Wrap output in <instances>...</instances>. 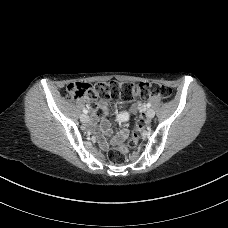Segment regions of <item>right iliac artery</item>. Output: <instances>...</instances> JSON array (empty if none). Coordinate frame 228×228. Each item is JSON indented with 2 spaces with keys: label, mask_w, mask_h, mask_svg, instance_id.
<instances>
[{
  "label": "right iliac artery",
  "mask_w": 228,
  "mask_h": 228,
  "mask_svg": "<svg viewBox=\"0 0 228 228\" xmlns=\"http://www.w3.org/2000/svg\"><path fill=\"white\" fill-rule=\"evenodd\" d=\"M83 112H84V114H87L88 113V110L87 109H83Z\"/></svg>",
  "instance_id": "right-iliac-artery-1"
}]
</instances>
